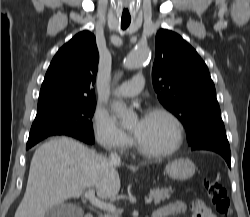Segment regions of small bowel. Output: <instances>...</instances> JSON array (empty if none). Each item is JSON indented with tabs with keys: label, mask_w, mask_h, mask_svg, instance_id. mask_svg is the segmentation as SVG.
I'll use <instances>...</instances> for the list:
<instances>
[{
	"label": "small bowel",
	"mask_w": 250,
	"mask_h": 217,
	"mask_svg": "<svg viewBox=\"0 0 250 217\" xmlns=\"http://www.w3.org/2000/svg\"><path fill=\"white\" fill-rule=\"evenodd\" d=\"M157 211L159 212V217H168L186 212H191L192 217H216V215L206 207L202 200H195L190 205L182 200H177Z\"/></svg>",
	"instance_id": "small-bowel-1"
}]
</instances>
